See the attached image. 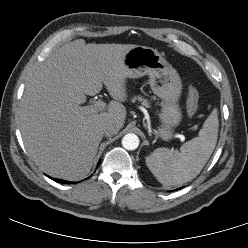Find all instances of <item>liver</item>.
<instances>
[{
	"label": "liver",
	"instance_id": "1",
	"mask_svg": "<svg viewBox=\"0 0 248 248\" xmlns=\"http://www.w3.org/2000/svg\"><path fill=\"white\" fill-rule=\"evenodd\" d=\"M133 44H86L78 39L58 48L31 74L19 109L28 155L44 173L65 180L90 172L108 121L124 126L128 72L123 63ZM105 85L114 99L106 112L80 105Z\"/></svg>",
	"mask_w": 248,
	"mask_h": 248
}]
</instances>
